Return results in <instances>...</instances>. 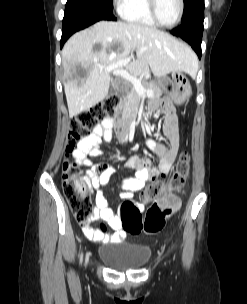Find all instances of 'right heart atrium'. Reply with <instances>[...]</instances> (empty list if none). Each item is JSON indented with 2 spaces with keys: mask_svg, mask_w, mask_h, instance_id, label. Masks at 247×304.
<instances>
[{
  "mask_svg": "<svg viewBox=\"0 0 247 304\" xmlns=\"http://www.w3.org/2000/svg\"><path fill=\"white\" fill-rule=\"evenodd\" d=\"M127 2L128 0H113L114 5L120 10L127 4Z\"/></svg>",
  "mask_w": 247,
  "mask_h": 304,
  "instance_id": "d8ad5b80",
  "label": "right heart atrium"
}]
</instances>
